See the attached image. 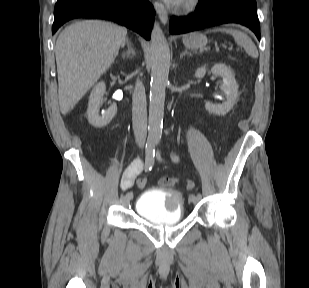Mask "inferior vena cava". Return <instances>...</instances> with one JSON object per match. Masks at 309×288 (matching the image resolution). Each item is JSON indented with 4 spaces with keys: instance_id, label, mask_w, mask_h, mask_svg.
I'll list each match as a JSON object with an SVG mask.
<instances>
[{
    "instance_id": "602c4592",
    "label": "inferior vena cava",
    "mask_w": 309,
    "mask_h": 288,
    "mask_svg": "<svg viewBox=\"0 0 309 288\" xmlns=\"http://www.w3.org/2000/svg\"><path fill=\"white\" fill-rule=\"evenodd\" d=\"M132 100V122L135 140L139 145H144L147 136V104L145 88L140 81L136 82Z\"/></svg>"
}]
</instances>
